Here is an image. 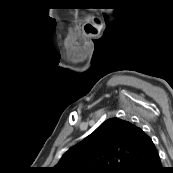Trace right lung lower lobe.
Returning <instances> with one entry per match:
<instances>
[{"label":"right lung lower lobe","mask_w":173,"mask_h":173,"mask_svg":"<svg viewBox=\"0 0 173 173\" xmlns=\"http://www.w3.org/2000/svg\"><path fill=\"white\" fill-rule=\"evenodd\" d=\"M122 173H164L157 149L132 161Z\"/></svg>","instance_id":"right-lung-lower-lobe-1"}]
</instances>
